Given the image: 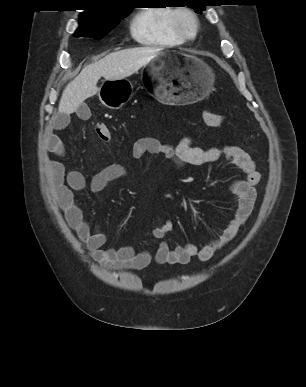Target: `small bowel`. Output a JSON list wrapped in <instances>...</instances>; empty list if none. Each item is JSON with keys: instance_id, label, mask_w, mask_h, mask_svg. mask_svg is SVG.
Returning <instances> with one entry per match:
<instances>
[{"instance_id": "small-bowel-1", "label": "small bowel", "mask_w": 306, "mask_h": 387, "mask_svg": "<svg viewBox=\"0 0 306 387\" xmlns=\"http://www.w3.org/2000/svg\"><path fill=\"white\" fill-rule=\"evenodd\" d=\"M68 124L69 114L56 116L50 124L46 133V149L50 154L56 156L65 154L64 143L55 132L66 128ZM156 154H162L179 169L187 166H201L227 158L243 171L244 177L229 185V191L237 197L232 218L226 227L205 246L198 248L194 244H186L171 248L164 240L173 226L172 221L167 220L152 230V236L159 240L154 254L148 250L137 252L131 246L103 248L106 235L99 228L92 229L89 226L75 199V192L82 191L86 187L85 177L79 171H67L65 166L55 159L47 161V173L53 194L66 221L92 258L107 269L141 270L153 260L158 264L171 265L187 264L193 258L207 261L236 236L253 211L257 196L255 187L260 181V173L247 149L234 145H219L204 149L194 146L189 136L181 138L175 146L164 144L152 137L140 138L133 144L132 156L135 159ZM126 173L124 165L112 163L92 177L90 191L99 193L110 182L124 177Z\"/></svg>"}]
</instances>
